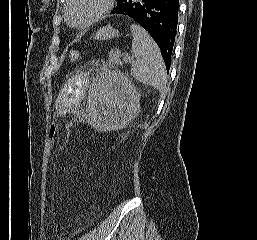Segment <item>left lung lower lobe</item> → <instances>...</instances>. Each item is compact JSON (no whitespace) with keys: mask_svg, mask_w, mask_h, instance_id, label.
<instances>
[{"mask_svg":"<svg viewBox=\"0 0 257 240\" xmlns=\"http://www.w3.org/2000/svg\"><path fill=\"white\" fill-rule=\"evenodd\" d=\"M178 7L179 0H121L111 13L129 17L149 32L159 46L169 70L178 23Z\"/></svg>","mask_w":257,"mask_h":240,"instance_id":"0a47b994","label":"left lung lower lobe"}]
</instances>
